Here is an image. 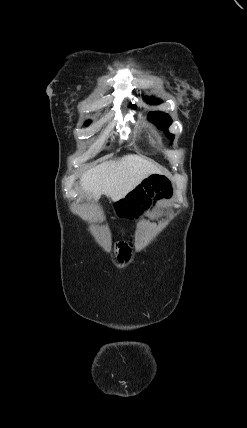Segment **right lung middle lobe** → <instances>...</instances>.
<instances>
[{"label": "right lung middle lobe", "instance_id": "1", "mask_svg": "<svg viewBox=\"0 0 247 428\" xmlns=\"http://www.w3.org/2000/svg\"><path fill=\"white\" fill-rule=\"evenodd\" d=\"M86 124H87V125H88V124H90V121L86 122Z\"/></svg>", "mask_w": 247, "mask_h": 428}]
</instances>
